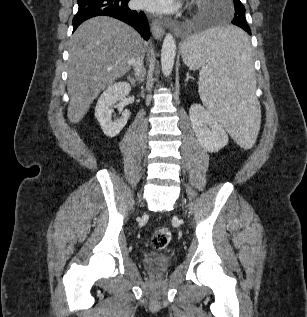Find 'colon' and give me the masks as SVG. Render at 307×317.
Returning a JSON list of instances; mask_svg holds the SVG:
<instances>
[{
  "label": "colon",
  "instance_id": "1",
  "mask_svg": "<svg viewBox=\"0 0 307 317\" xmlns=\"http://www.w3.org/2000/svg\"><path fill=\"white\" fill-rule=\"evenodd\" d=\"M171 239V231L166 227H159L154 231L151 237V243L154 249L163 250L168 247Z\"/></svg>",
  "mask_w": 307,
  "mask_h": 317
}]
</instances>
